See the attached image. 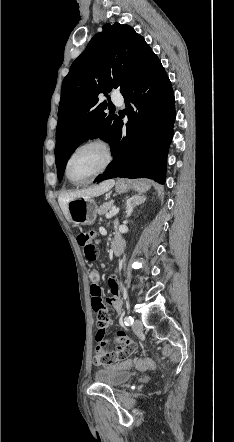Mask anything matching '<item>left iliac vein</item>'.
I'll return each mask as SVG.
<instances>
[{
    "label": "left iliac vein",
    "mask_w": 234,
    "mask_h": 442,
    "mask_svg": "<svg viewBox=\"0 0 234 442\" xmlns=\"http://www.w3.org/2000/svg\"><path fill=\"white\" fill-rule=\"evenodd\" d=\"M132 327H133V330H134L135 332H137V331H141L142 328H143L142 321H141L140 319H136V320L134 321V324H133Z\"/></svg>",
    "instance_id": "4c4485c4"
}]
</instances>
